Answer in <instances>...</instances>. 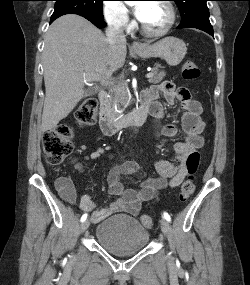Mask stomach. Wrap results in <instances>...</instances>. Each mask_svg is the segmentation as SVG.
<instances>
[{
  "label": "stomach",
  "mask_w": 250,
  "mask_h": 285,
  "mask_svg": "<svg viewBox=\"0 0 250 285\" xmlns=\"http://www.w3.org/2000/svg\"><path fill=\"white\" fill-rule=\"evenodd\" d=\"M186 52L184 41L176 37H165L154 44H144L141 50L134 51L136 55L144 59L152 57L164 59L170 66H177L181 63Z\"/></svg>",
  "instance_id": "stomach-1"
}]
</instances>
